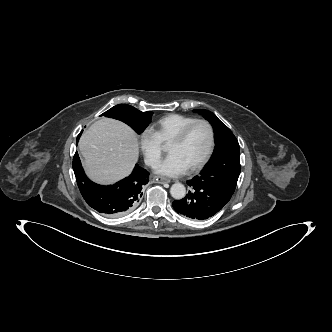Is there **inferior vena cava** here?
Returning <instances> with one entry per match:
<instances>
[{"label": "inferior vena cava", "instance_id": "inferior-vena-cava-1", "mask_svg": "<svg viewBox=\"0 0 332 332\" xmlns=\"http://www.w3.org/2000/svg\"><path fill=\"white\" fill-rule=\"evenodd\" d=\"M150 164L153 168L157 167V162L155 160H152Z\"/></svg>", "mask_w": 332, "mask_h": 332}]
</instances>
